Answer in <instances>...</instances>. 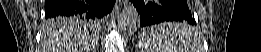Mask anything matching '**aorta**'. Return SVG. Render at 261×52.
<instances>
[{"label":"aorta","instance_id":"1","mask_svg":"<svg viewBox=\"0 0 261 52\" xmlns=\"http://www.w3.org/2000/svg\"><path fill=\"white\" fill-rule=\"evenodd\" d=\"M139 21V15L136 7L133 4L126 5L119 16L121 26H135Z\"/></svg>","mask_w":261,"mask_h":52}]
</instances>
